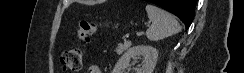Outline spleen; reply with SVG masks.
I'll use <instances>...</instances> for the list:
<instances>
[{
    "instance_id": "spleen-1",
    "label": "spleen",
    "mask_w": 244,
    "mask_h": 73,
    "mask_svg": "<svg viewBox=\"0 0 244 73\" xmlns=\"http://www.w3.org/2000/svg\"><path fill=\"white\" fill-rule=\"evenodd\" d=\"M145 9L152 23L146 31V36L150 41H158L181 31L176 18L167 11L152 4H147Z\"/></svg>"
}]
</instances>
